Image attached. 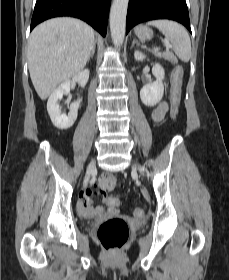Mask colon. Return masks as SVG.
<instances>
[{"label": "colon", "mask_w": 229, "mask_h": 280, "mask_svg": "<svg viewBox=\"0 0 229 280\" xmlns=\"http://www.w3.org/2000/svg\"><path fill=\"white\" fill-rule=\"evenodd\" d=\"M183 80V71L180 67H177L171 78L172 89L170 95V116L172 119H176L181 104V86ZM100 186L104 189H112L117 184V179L111 174L102 175ZM116 206L120 205V200L116 198L114 200ZM134 215L142 217L143 211L139 208L134 210ZM129 237L128 223L122 218L114 217L103 222L97 230V238L103 247L111 253H118L122 250L124 244Z\"/></svg>", "instance_id": "obj_1"}]
</instances>
